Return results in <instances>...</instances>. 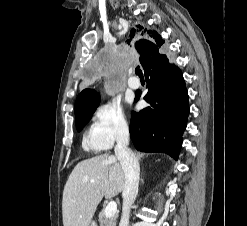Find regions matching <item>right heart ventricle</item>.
Instances as JSON below:
<instances>
[{"instance_id": "e07e8e85", "label": "right heart ventricle", "mask_w": 247, "mask_h": 226, "mask_svg": "<svg viewBox=\"0 0 247 226\" xmlns=\"http://www.w3.org/2000/svg\"><path fill=\"white\" fill-rule=\"evenodd\" d=\"M90 148V147H89ZM91 150H93V151H99L98 149H94V148H90Z\"/></svg>"}]
</instances>
